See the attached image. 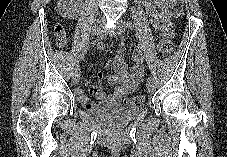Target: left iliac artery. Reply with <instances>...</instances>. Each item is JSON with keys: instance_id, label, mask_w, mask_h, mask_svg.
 <instances>
[{"instance_id": "44dca946", "label": "left iliac artery", "mask_w": 227, "mask_h": 157, "mask_svg": "<svg viewBox=\"0 0 227 157\" xmlns=\"http://www.w3.org/2000/svg\"><path fill=\"white\" fill-rule=\"evenodd\" d=\"M131 22L127 21V22H124V27H131ZM148 82H153V77L152 76H149L148 77Z\"/></svg>"}]
</instances>
